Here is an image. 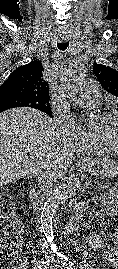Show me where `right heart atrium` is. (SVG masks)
Instances as JSON below:
<instances>
[{"mask_svg": "<svg viewBox=\"0 0 118 269\" xmlns=\"http://www.w3.org/2000/svg\"><path fill=\"white\" fill-rule=\"evenodd\" d=\"M56 120L60 126L63 140L72 147L84 149L93 144V137L79 128L69 116L56 114Z\"/></svg>", "mask_w": 118, "mask_h": 269, "instance_id": "right-heart-atrium-1", "label": "right heart atrium"}]
</instances>
